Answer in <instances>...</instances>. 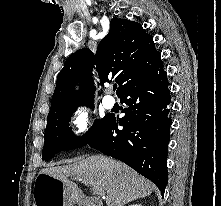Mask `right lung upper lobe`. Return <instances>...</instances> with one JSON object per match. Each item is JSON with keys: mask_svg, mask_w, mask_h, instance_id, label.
<instances>
[{"mask_svg": "<svg viewBox=\"0 0 221 206\" xmlns=\"http://www.w3.org/2000/svg\"><path fill=\"white\" fill-rule=\"evenodd\" d=\"M161 62L153 37L139 23L115 18L110 21L108 35L98 44L94 55L88 48L72 54L60 71L52 97L50 113L82 103H92L94 64L101 83L114 78L119 87L117 95L133 81ZM80 90L75 91L76 82Z\"/></svg>", "mask_w": 221, "mask_h": 206, "instance_id": "1", "label": "right lung upper lobe"}]
</instances>
